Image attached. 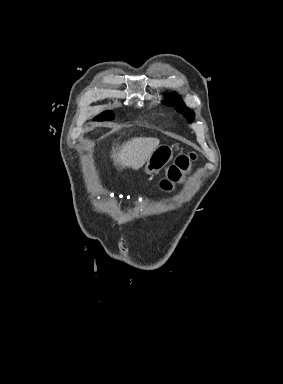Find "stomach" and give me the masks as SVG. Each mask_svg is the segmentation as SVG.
Masks as SVG:
<instances>
[{"label":"stomach","mask_w":283,"mask_h":384,"mask_svg":"<svg viewBox=\"0 0 283 384\" xmlns=\"http://www.w3.org/2000/svg\"><path fill=\"white\" fill-rule=\"evenodd\" d=\"M173 158V150L170 146H157L145 164L146 174H157Z\"/></svg>","instance_id":"stomach-1"}]
</instances>
